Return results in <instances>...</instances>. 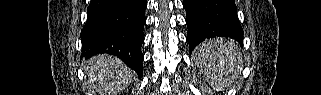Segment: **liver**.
Wrapping results in <instances>:
<instances>
[{"mask_svg":"<svg viewBox=\"0 0 321 95\" xmlns=\"http://www.w3.org/2000/svg\"><path fill=\"white\" fill-rule=\"evenodd\" d=\"M88 82L100 95H117L124 90L134 73L115 56L97 55L87 61Z\"/></svg>","mask_w":321,"mask_h":95,"instance_id":"1","label":"liver"}]
</instances>
